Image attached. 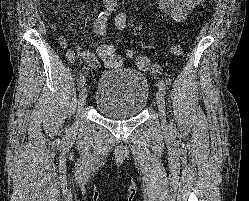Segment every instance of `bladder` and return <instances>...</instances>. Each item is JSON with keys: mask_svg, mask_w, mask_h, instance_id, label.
<instances>
[{"mask_svg": "<svg viewBox=\"0 0 249 201\" xmlns=\"http://www.w3.org/2000/svg\"><path fill=\"white\" fill-rule=\"evenodd\" d=\"M150 96L144 73L127 68L107 69L97 81L95 108L105 117L128 119L140 115Z\"/></svg>", "mask_w": 249, "mask_h": 201, "instance_id": "1", "label": "bladder"}]
</instances>
